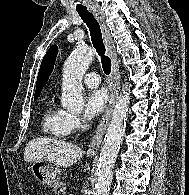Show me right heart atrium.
<instances>
[{
  "mask_svg": "<svg viewBox=\"0 0 189 195\" xmlns=\"http://www.w3.org/2000/svg\"><path fill=\"white\" fill-rule=\"evenodd\" d=\"M81 125L80 117L75 113H68L67 129L69 132L77 130Z\"/></svg>",
  "mask_w": 189,
  "mask_h": 195,
  "instance_id": "right-heart-atrium-1",
  "label": "right heart atrium"
}]
</instances>
